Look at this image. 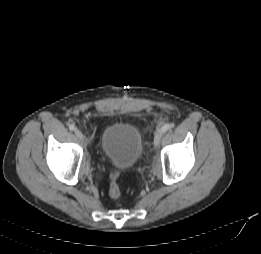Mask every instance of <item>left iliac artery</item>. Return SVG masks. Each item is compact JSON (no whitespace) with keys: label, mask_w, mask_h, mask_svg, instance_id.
<instances>
[{"label":"left iliac artery","mask_w":261,"mask_h":254,"mask_svg":"<svg viewBox=\"0 0 261 254\" xmlns=\"http://www.w3.org/2000/svg\"><path fill=\"white\" fill-rule=\"evenodd\" d=\"M172 127H173L172 124L166 123V124L161 128V130H162L163 132H166V131L170 130Z\"/></svg>","instance_id":"1"}]
</instances>
